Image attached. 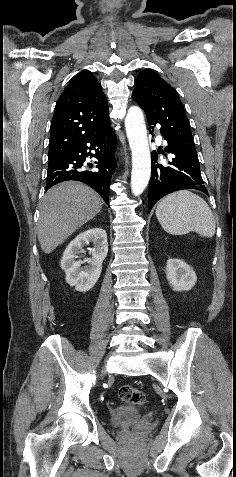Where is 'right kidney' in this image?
<instances>
[{
    "mask_svg": "<svg viewBox=\"0 0 236 477\" xmlns=\"http://www.w3.org/2000/svg\"><path fill=\"white\" fill-rule=\"evenodd\" d=\"M90 242L94 245L90 249L92 257L84 261H76L82 248ZM107 253L108 242L105 230L93 228L79 234L67 246L61 259V268L66 274V282L70 286H74L77 291H89L100 277L102 263ZM85 262L89 265L81 267V264Z\"/></svg>",
    "mask_w": 236,
    "mask_h": 477,
    "instance_id": "obj_1",
    "label": "right kidney"
}]
</instances>
